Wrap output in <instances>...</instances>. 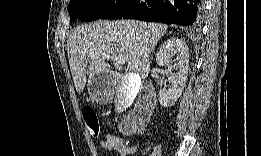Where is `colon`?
I'll use <instances>...</instances> for the list:
<instances>
[{"instance_id":"1","label":"colon","mask_w":261,"mask_h":156,"mask_svg":"<svg viewBox=\"0 0 261 156\" xmlns=\"http://www.w3.org/2000/svg\"><path fill=\"white\" fill-rule=\"evenodd\" d=\"M82 112L90 135L94 138L98 137L100 134V125L95 111L90 107H86ZM137 123H139L138 129H142L145 125L144 120ZM125 144H128V142H125Z\"/></svg>"}]
</instances>
